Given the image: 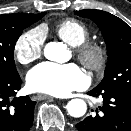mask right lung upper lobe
Here are the masks:
<instances>
[{"label": "right lung upper lobe", "instance_id": "right-lung-upper-lobe-1", "mask_svg": "<svg viewBox=\"0 0 131 131\" xmlns=\"http://www.w3.org/2000/svg\"><path fill=\"white\" fill-rule=\"evenodd\" d=\"M16 14H25V15H27V16H29V17H33V16H39L40 14H26V13H16Z\"/></svg>", "mask_w": 131, "mask_h": 131}]
</instances>
